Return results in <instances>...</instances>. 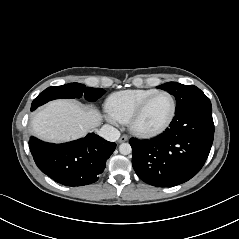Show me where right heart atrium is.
<instances>
[{
    "mask_svg": "<svg viewBox=\"0 0 239 239\" xmlns=\"http://www.w3.org/2000/svg\"><path fill=\"white\" fill-rule=\"evenodd\" d=\"M107 119L111 124H114V125H117L118 123H120L119 120H117L115 117H113L110 114H108Z\"/></svg>",
    "mask_w": 239,
    "mask_h": 239,
    "instance_id": "d8ad5b80",
    "label": "right heart atrium"
}]
</instances>
